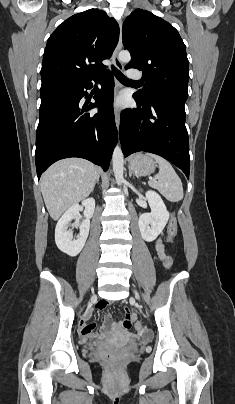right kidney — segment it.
Masks as SVG:
<instances>
[{
  "instance_id": "1",
  "label": "right kidney",
  "mask_w": 235,
  "mask_h": 404,
  "mask_svg": "<svg viewBox=\"0 0 235 404\" xmlns=\"http://www.w3.org/2000/svg\"><path fill=\"white\" fill-rule=\"evenodd\" d=\"M83 207L85 220L81 223L75 222L72 224L73 227H79L80 229L78 238L75 240L72 239V230H68V225L70 221L79 217V212L83 210ZM94 209L95 200L88 198L82 201V206L79 204L71 206L60 218L55 229V242L62 252L71 257H75L81 252L89 234L90 219L93 216Z\"/></svg>"
}]
</instances>
